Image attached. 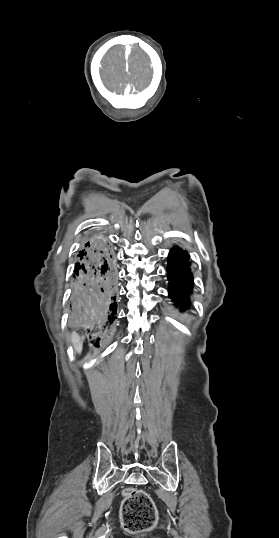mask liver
Listing matches in <instances>:
<instances>
[{"label":"liver","mask_w":279,"mask_h":538,"mask_svg":"<svg viewBox=\"0 0 279 538\" xmlns=\"http://www.w3.org/2000/svg\"><path fill=\"white\" fill-rule=\"evenodd\" d=\"M71 342H72V344L74 346L75 352H78V354H81V352H82V340H81L80 336H78V334H76V332H72Z\"/></svg>","instance_id":"1"}]
</instances>
